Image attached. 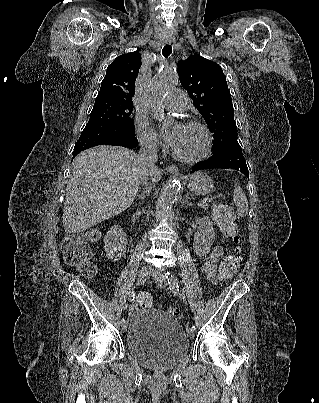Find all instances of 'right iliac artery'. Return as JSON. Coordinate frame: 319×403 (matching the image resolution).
<instances>
[{"mask_svg":"<svg viewBox=\"0 0 319 403\" xmlns=\"http://www.w3.org/2000/svg\"><path fill=\"white\" fill-rule=\"evenodd\" d=\"M134 297H135L134 292H131V293L129 294V296H128V300H129L130 302H132V301L134 300ZM123 322H125L124 318L121 320V323H123Z\"/></svg>","mask_w":319,"mask_h":403,"instance_id":"1","label":"right iliac artery"}]
</instances>
